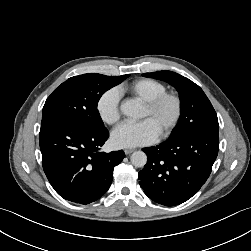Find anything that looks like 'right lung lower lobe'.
I'll return each mask as SVG.
<instances>
[{
	"label": "right lung lower lobe",
	"instance_id": "obj_1",
	"mask_svg": "<svg viewBox=\"0 0 251 251\" xmlns=\"http://www.w3.org/2000/svg\"><path fill=\"white\" fill-rule=\"evenodd\" d=\"M109 137L104 128H90L69 121L41 126L39 143L44 172L64 199L89 204L110 187L113 169L125 157L122 150L99 152Z\"/></svg>",
	"mask_w": 251,
	"mask_h": 251
}]
</instances>
